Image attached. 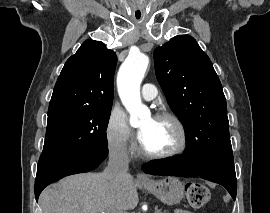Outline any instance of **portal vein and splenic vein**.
I'll use <instances>...</instances> for the list:
<instances>
[{
	"instance_id": "portal-vein-and-splenic-vein-1",
	"label": "portal vein and splenic vein",
	"mask_w": 270,
	"mask_h": 213,
	"mask_svg": "<svg viewBox=\"0 0 270 213\" xmlns=\"http://www.w3.org/2000/svg\"><path fill=\"white\" fill-rule=\"evenodd\" d=\"M103 213H108V212H103ZM113 213H120V212H113Z\"/></svg>"
}]
</instances>
